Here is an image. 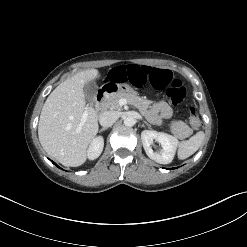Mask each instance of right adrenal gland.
<instances>
[{"instance_id":"right-adrenal-gland-1","label":"right adrenal gland","mask_w":247,"mask_h":247,"mask_svg":"<svg viewBox=\"0 0 247 247\" xmlns=\"http://www.w3.org/2000/svg\"><path fill=\"white\" fill-rule=\"evenodd\" d=\"M106 129H107L106 127H103V128L100 129V132H102V131H104Z\"/></svg>"}]
</instances>
